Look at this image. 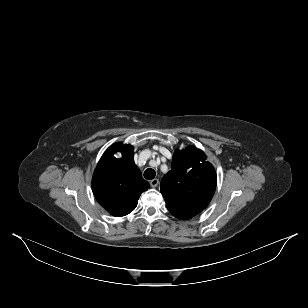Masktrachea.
Returning <instances> with one entry per match:
<instances>
[{"label":"trachea","instance_id":"obj_1","mask_svg":"<svg viewBox=\"0 0 308 308\" xmlns=\"http://www.w3.org/2000/svg\"><path fill=\"white\" fill-rule=\"evenodd\" d=\"M156 175V172L152 168H148L144 172V178L147 180H152Z\"/></svg>","mask_w":308,"mask_h":308}]
</instances>
